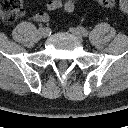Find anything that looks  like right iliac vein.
I'll use <instances>...</instances> for the list:
<instances>
[{
    "label": "right iliac vein",
    "mask_w": 128,
    "mask_h": 128,
    "mask_svg": "<svg viewBox=\"0 0 128 128\" xmlns=\"http://www.w3.org/2000/svg\"><path fill=\"white\" fill-rule=\"evenodd\" d=\"M39 32H40V35H41L43 38L48 37L49 34H50V31H49L48 28H41Z\"/></svg>",
    "instance_id": "obj_1"
}]
</instances>
